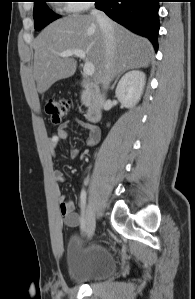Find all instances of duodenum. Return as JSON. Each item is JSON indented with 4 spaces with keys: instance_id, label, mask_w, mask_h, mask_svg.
<instances>
[{
    "instance_id": "obj_1",
    "label": "duodenum",
    "mask_w": 195,
    "mask_h": 299,
    "mask_svg": "<svg viewBox=\"0 0 195 299\" xmlns=\"http://www.w3.org/2000/svg\"><path fill=\"white\" fill-rule=\"evenodd\" d=\"M87 104L86 119L90 123H96L101 119L103 111V96L99 86L93 82H81Z\"/></svg>"
}]
</instances>
